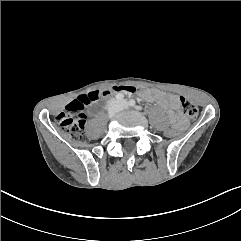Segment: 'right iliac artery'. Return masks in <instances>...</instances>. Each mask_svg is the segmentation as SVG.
I'll return each instance as SVG.
<instances>
[{"label": "right iliac artery", "mask_w": 241, "mask_h": 241, "mask_svg": "<svg viewBox=\"0 0 241 241\" xmlns=\"http://www.w3.org/2000/svg\"><path fill=\"white\" fill-rule=\"evenodd\" d=\"M123 98H124V95L123 94H117L116 95V100H118V101H121V100H123Z\"/></svg>", "instance_id": "82829eb1"}]
</instances>
